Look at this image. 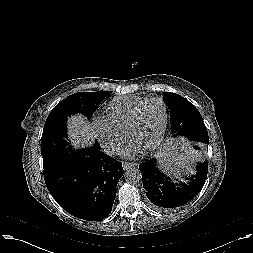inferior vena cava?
I'll return each instance as SVG.
<instances>
[{
    "mask_svg": "<svg viewBox=\"0 0 253 253\" xmlns=\"http://www.w3.org/2000/svg\"><path fill=\"white\" fill-rule=\"evenodd\" d=\"M105 151L108 153V154H114L115 153V147L113 145H110V146H105Z\"/></svg>",
    "mask_w": 253,
    "mask_h": 253,
    "instance_id": "inferior-vena-cava-1",
    "label": "inferior vena cava"
}]
</instances>
